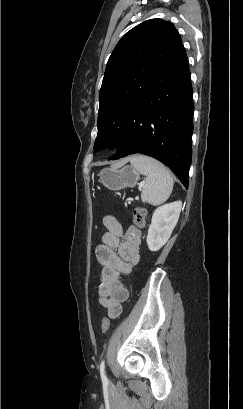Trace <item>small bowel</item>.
Listing matches in <instances>:
<instances>
[{
    "label": "small bowel",
    "mask_w": 243,
    "mask_h": 409,
    "mask_svg": "<svg viewBox=\"0 0 243 409\" xmlns=\"http://www.w3.org/2000/svg\"><path fill=\"white\" fill-rule=\"evenodd\" d=\"M103 224L107 230L96 248L102 266L99 303L116 318L121 313V303L128 299V290L120 276L131 273L139 262L141 232L135 227L124 232L122 224L113 215L105 216Z\"/></svg>",
    "instance_id": "c3829d8e"
}]
</instances>
